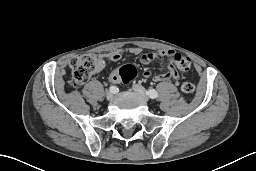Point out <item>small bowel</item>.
<instances>
[{
  "mask_svg": "<svg viewBox=\"0 0 256 171\" xmlns=\"http://www.w3.org/2000/svg\"><path fill=\"white\" fill-rule=\"evenodd\" d=\"M125 55L138 56L140 62L144 65H147L154 60H159L163 64L164 68L166 69V73L154 75L153 80L155 82H163L170 79L174 80L175 82H178L179 80V75L175 67L176 64H175L174 58L180 54L172 50L163 49L155 52L142 53V50L138 47H129L124 49H115L108 53L100 54L99 56L102 59L107 58L111 61L116 62V61H119ZM143 76L145 78H150L151 72L148 70H145L143 72ZM109 79L112 83H118L120 81L117 76V70L113 71L110 74Z\"/></svg>",
  "mask_w": 256,
  "mask_h": 171,
  "instance_id": "c3829d8e",
  "label": "small bowel"
}]
</instances>
